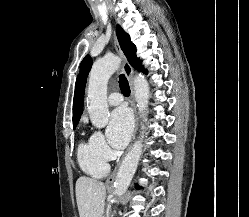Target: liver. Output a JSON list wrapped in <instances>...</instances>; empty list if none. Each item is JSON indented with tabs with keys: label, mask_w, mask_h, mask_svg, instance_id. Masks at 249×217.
<instances>
[{
	"label": "liver",
	"mask_w": 249,
	"mask_h": 217,
	"mask_svg": "<svg viewBox=\"0 0 249 217\" xmlns=\"http://www.w3.org/2000/svg\"><path fill=\"white\" fill-rule=\"evenodd\" d=\"M106 197L105 185L82 176L76 182V200L80 217H102Z\"/></svg>",
	"instance_id": "obj_1"
}]
</instances>
